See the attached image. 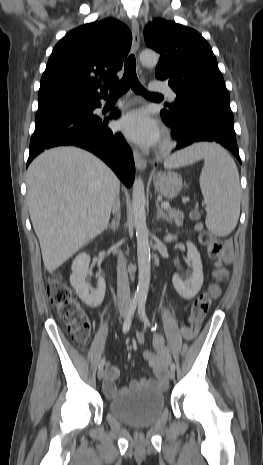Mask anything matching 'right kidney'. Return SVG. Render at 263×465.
Here are the masks:
<instances>
[{"label":"right kidney","instance_id":"obj_1","mask_svg":"<svg viewBox=\"0 0 263 465\" xmlns=\"http://www.w3.org/2000/svg\"><path fill=\"white\" fill-rule=\"evenodd\" d=\"M89 264L90 256L87 253L78 254L72 263L70 283L75 288L80 299L89 307L94 308L99 306L104 299L106 283L104 278L99 277L97 288H90L86 282V277L92 274L91 270H89Z\"/></svg>","mask_w":263,"mask_h":465}]
</instances>
